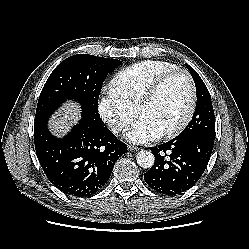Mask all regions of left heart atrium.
<instances>
[{"label": "left heart atrium", "instance_id": "obj_1", "mask_svg": "<svg viewBox=\"0 0 249 249\" xmlns=\"http://www.w3.org/2000/svg\"><path fill=\"white\" fill-rule=\"evenodd\" d=\"M162 134L161 129L153 121L141 116L127 132L126 137L134 143H146L160 138Z\"/></svg>", "mask_w": 249, "mask_h": 249}]
</instances>
